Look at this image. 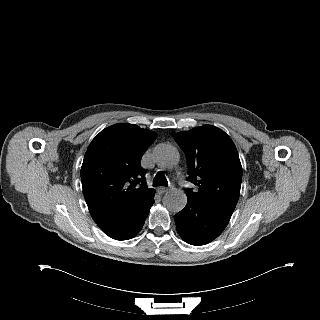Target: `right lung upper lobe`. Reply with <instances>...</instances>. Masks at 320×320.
<instances>
[{
	"label": "right lung upper lobe",
	"mask_w": 320,
	"mask_h": 320,
	"mask_svg": "<svg viewBox=\"0 0 320 320\" xmlns=\"http://www.w3.org/2000/svg\"><path fill=\"white\" fill-rule=\"evenodd\" d=\"M156 137L153 131L120 123L92 140L84 156L81 181L96 223L135 211L154 198L140 160Z\"/></svg>",
	"instance_id": "obj_1"
}]
</instances>
